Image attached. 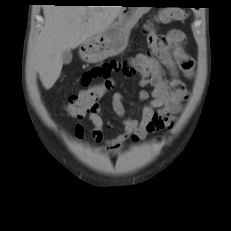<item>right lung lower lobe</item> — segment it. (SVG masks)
Returning a JSON list of instances; mask_svg holds the SVG:
<instances>
[{"mask_svg":"<svg viewBox=\"0 0 231 231\" xmlns=\"http://www.w3.org/2000/svg\"><path fill=\"white\" fill-rule=\"evenodd\" d=\"M42 2H51L57 5H77L75 0H42Z\"/></svg>","mask_w":231,"mask_h":231,"instance_id":"1","label":"right lung lower lobe"}]
</instances>
